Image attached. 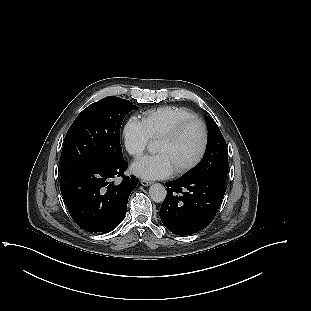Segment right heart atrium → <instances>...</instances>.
Masks as SVG:
<instances>
[{"instance_id": "right-heart-atrium-1", "label": "right heart atrium", "mask_w": 311, "mask_h": 311, "mask_svg": "<svg viewBox=\"0 0 311 311\" xmlns=\"http://www.w3.org/2000/svg\"><path fill=\"white\" fill-rule=\"evenodd\" d=\"M123 139L127 152L134 158H139L150 143L143 122L135 117L126 121L123 128Z\"/></svg>"}]
</instances>
